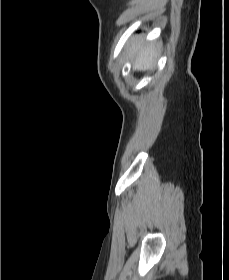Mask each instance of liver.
Returning <instances> with one entry per match:
<instances>
[{
	"label": "liver",
	"mask_w": 229,
	"mask_h": 280,
	"mask_svg": "<svg viewBox=\"0 0 229 280\" xmlns=\"http://www.w3.org/2000/svg\"><path fill=\"white\" fill-rule=\"evenodd\" d=\"M131 54L134 56V70L146 71L153 68L155 58V50L153 45H147L143 47L139 43L133 48Z\"/></svg>",
	"instance_id": "liver-1"
}]
</instances>
